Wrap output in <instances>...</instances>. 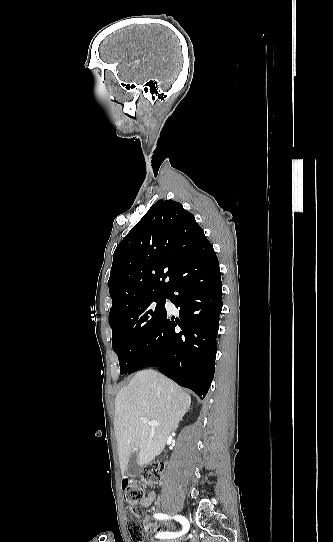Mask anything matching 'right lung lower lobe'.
<instances>
[{"mask_svg":"<svg viewBox=\"0 0 333 542\" xmlns=\"http://www.w3.org/2000/svg\"><path fill=\"white\" fill-rule=\"evenodd\" d=\"M177 265L182 276L167 298L180 308V318L166 316L160 322L152 343L137 358L130 373L148 366L158 367L203 399L215 370L222 310L220 268L208 240L182 249Z\"/></svg>","mask_w":333,"mask_h":542,"instance_id":"right-lung-lower-lobe-1","label":"right lung lower lobe"}]
</instances>
